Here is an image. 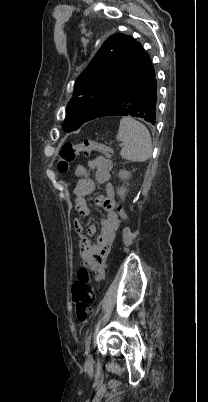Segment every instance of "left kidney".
Masks as SVG:
<instances>
[{"label": "left kidney", "mask_w": 208, "mask_h": 402, "mask_svg": "<svg viewBox=\"0 0 208 402\" xmlns=\"http://www.w3.org/2000/svg\"><path fill=\"white\" fill-rule=\"evenodd\" d=\"M130 174L131 172H127V170H120L118 176L119 178H121V180H123V182H125V180H128V178H130ZM126 192V188H118L117 194L118 196H120L121 200H124Z\"/></svg>", "instance_id": "left-kidney-1"}]
</instances>
